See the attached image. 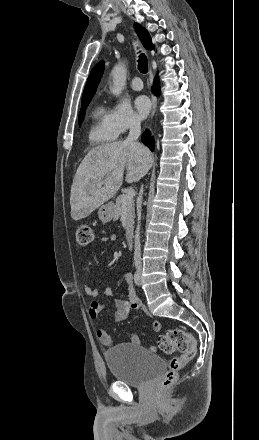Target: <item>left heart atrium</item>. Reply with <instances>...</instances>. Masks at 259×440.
<instances>
[{"mask_svg":"<svg viewBox=\"0 0 259 440\" xmlns=\"http://www.w3.org/2000/svg\"><path fill=\"white\" fill-rule=\"evenodd\" d=\"M135 107L139 115L145 117L151 109V102L146 96L140 95L135 99Z\"/></svg>","mask_w":259,"mask_h":440,"instance_id":"obj_1","label":"left heart atrium"}]
</instances>
